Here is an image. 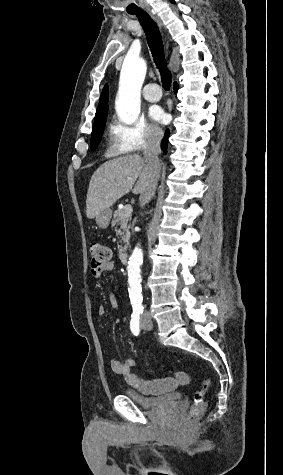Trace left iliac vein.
I'll use <instances>...</instances> for the list:
<instances>
[{
  "label": "left iliac vein",
  "instance_id": "obj_1",
  "mask_svg": "<svg viewBox=\"0 0 283 475\" xmlns=\"http://www.w3.org/2000/svg\"><path fill=\"white\" fill-rule=\"evenodd\" d=\"M142 327L144 330H150L153 327V322L150 314H145L144 320L142 321Z\"/></svg>",
  "mask_w": 283,
  "mask_h": 475
}]
</instances>
